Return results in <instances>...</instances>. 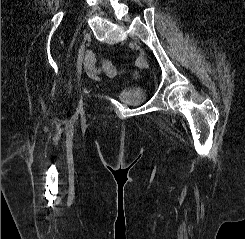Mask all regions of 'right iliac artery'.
<instances>
[{
  "label": "right iliac artery",
  "instance_id": "right-iliac-artery-1",
  "mask_svg": "<svg viewBox=\"0 0 245 239\" xmlns=\"http://www.w3.org/2000/svg\"><path fill=\"white\" fill-rule=\"evenodd\" d=\"M79 52H80V50H79ZM77 64L79 65V54H78V61H77Z\"/></svg>",
  "mask_w": 245,
  "mask_h": 239
}]
</instances>
